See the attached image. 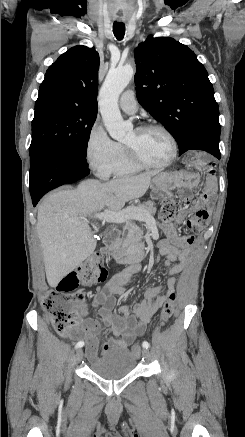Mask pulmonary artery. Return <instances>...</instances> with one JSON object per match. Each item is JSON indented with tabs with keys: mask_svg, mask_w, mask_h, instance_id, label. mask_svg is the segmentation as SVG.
<instances>
[{
	"mask_svg": "<svg viewBox=\"0 0 245 437\" xmlns=\"http://www.w3.org/2000/svg\"><path fill=\"white\" fill-rule=\"evenodd\" d=\"M119 105L121 109L128 114L135 113L137 111V101L135 99L134 91H125L120 97Z\"/></svg>",
	"mask_w": 245,
	"mask_h": 437,
	"instance_id": "obj_1",
	"label": "pulmonary artery"
}]
</instances>
